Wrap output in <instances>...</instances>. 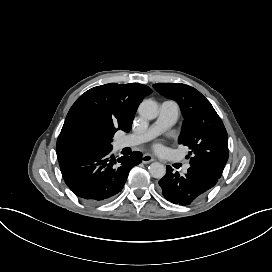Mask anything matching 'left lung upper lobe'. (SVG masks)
I'll return each instance as SVG.
<instances>
[{
	"instance_id": "1",
	"label": "left lung upper lobe",
	"mask_w": 272,
	"mask_h": 272,
	"mask_svg": "<svg viewBox=\"0 0 272 272\" xmlns=\"http://www.w3.org/2000/svg\"><path fill=\"white\" fill-rule=\"evenodd\" d=\"M153 87L180 105L185 120L179 143L192 150L190 165L204 168L220 178L228 160V136L211 103L185 84L158 83Z\"/></svg>"
}]
</instances>
